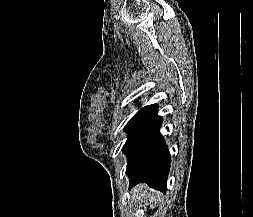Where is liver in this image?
Masks as SVG:
<instances>
[{"label": "liver", "mask_w": 253, "mask_h": 217, "mask_svg": "<svg viewBox=\"0 0 253 217\" xmlns=\"http://www.w3.org/2000/svg\"><path fill=\"white\" fill-rule=\"evenodd\" d=\"M148 190L150 192H148ZM153 193L155 194V196L153 195ZM132 197L139 201H143V198L146 197L145 202L149 201L150 207H152L153 204L158 203L161 199V195L158 192L148 189L145 185L136 186L132 191Z\"/></svg>", "instance_id": "6515ba94"}]
</instances>
